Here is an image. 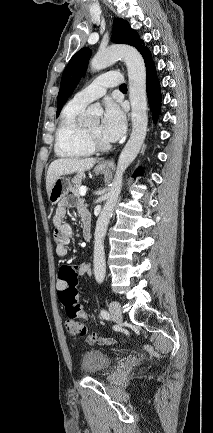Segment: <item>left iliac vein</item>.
<instances>
[{
	"instance_id": "left-iliac-vein-1",
	"label": "left iliac vein",
	"mask_w": 213,
	"mask_h": 433,
	"mask_svg": "<svg viewBox=\"0 0 213 433\" xmlns=\"http://www.w3.org/2000/svg\"><path fill=\"white\" fill-rule=\"evenodd\" d=\"M109 313L110 317L116 321L121 322L122 321V312H121V306L117 301H112L109 304Z\"/></svg>"
}]
</instances>
